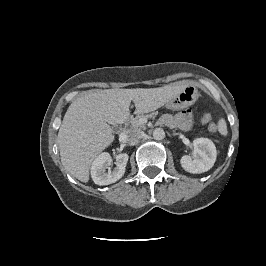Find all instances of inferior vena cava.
<instances>
[{
  "label": "inferior vena cava",
  "instance_id": "inferior-vena-cava-1",
  "mask_svg": "<svg viewBox=\"0 0 266 266\" xmlns=\"http://www.w3.org/2000/svg\"><path fill=\"white\" fill-rule=\"evenodd\" d=\"M126 139L129 142L138 141L145 136V133L141 130L130 129L125 133Z\"/></svg>",
  "mask_w": 266,
  "mask_h": 266
}]
</instances>
